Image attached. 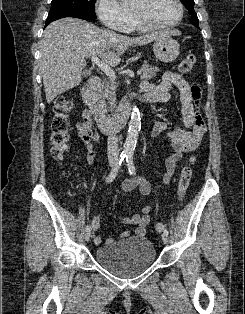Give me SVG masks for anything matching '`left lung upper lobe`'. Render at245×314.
<instances>
[{"label":"left lung upper lobe","instance_id":"1","mask_svg":"<svg viewBox=\"0 0 245 314\" xmlns=\"http://www.w3.org/2000/svg\"><path fill=\"white\" fill-rule=\"evenodd\" d=\"M180 1L188 9L189 13L192 16V18L190 19V22L193 25H195L197 28H199V20H198L196 12L194 10V0H180Z\"/></svg>","mask_w":245,"mask_h":314}]
</instances>
